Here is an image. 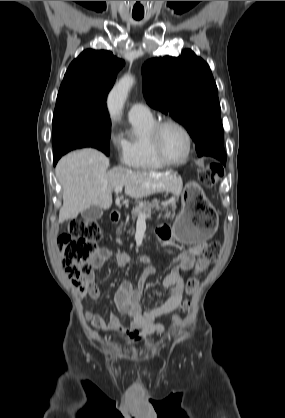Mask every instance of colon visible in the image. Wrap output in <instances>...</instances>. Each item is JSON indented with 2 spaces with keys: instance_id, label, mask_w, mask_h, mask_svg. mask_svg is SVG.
Here are the masks:
<instances>
[{
  "instance_id": "5ec220e1",
  "label": "colon",
  "mask_w": 285,
  "mask_h": 418,
  "mask_svg": "<svg viewBox=\"0 0 285 418\" xmlns=\"http://www.w3.org/2000/svg\"><path fill=\"white\" fill-rule=\"evenodd\" d=\"M222 176V167L208 164L202 168L199 180L202 185L210 187ZM100 236L101 232L97 223L73 219L69 222L67 230L58 237L65 273L72 283L82 290L90 287L91 270L88 259L97 253ZM220 254V242L213 241L204 246L194 267L195 275L187 282L189 294L193 293L197 287L198 275L207 268L209 263L217 260ZM190 307L191 302L187 299L181 306V312L189 311ZM173 324L175 327L180 326V316H174Z\"/></svg>"
}]
</instances>
